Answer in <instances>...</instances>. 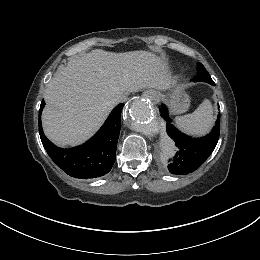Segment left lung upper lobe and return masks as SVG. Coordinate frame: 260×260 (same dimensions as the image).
Here are the masks:
<instances>
[{"label":"left lung upper lobe","mask_w":260,"mask_h":260,"mask_svg":"<svg viewBox=\"0 0 260 260\" xmlns=\"http://www.w3.org/2000/svg\"><path fill=\"white\" fill-rule=\"evenodd\" d=\"M199 81H204L210 84H214L213 80L211 79L209 73L205 69V67L200 64L199 65V71H198V76L195 77L194 82H199Z\"/></svg>","instance_id":"obj_1"}]
</instances>
